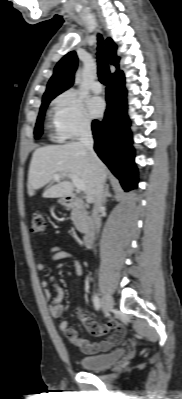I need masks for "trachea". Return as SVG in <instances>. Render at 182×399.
<instances>
[{
  "mask_svg": "<svg viewBox=\"0 0 182 399\" xmlns=\"http://www.w3.org/2000/svg\"><path fill=\"white\" fill-rule=\"evenodd\" d=\"M103 39L102 36L99 34L98 35V53H97V59H98V76L99 80L103 84H107L109 80V67L108 64L105 60L104 53H103Z\"/></svg>",
  "mask_w": 182,
  "mask_h": 399,
  "instance_id": "obj_1",
  "label": "trachea"
}]
</instances>
